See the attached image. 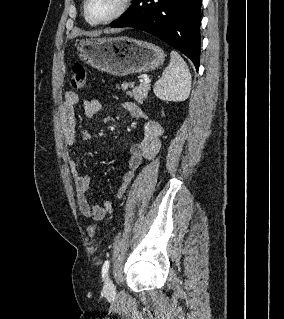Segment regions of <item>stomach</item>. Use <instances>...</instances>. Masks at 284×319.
Here are the masks:
<instances>
[{
    "mask_svg": "<svg viewBox=\"0 0 284 319\" xmlns=\"http://www.w3.org/2000/svg\"><path fill=\"white\" fill-rule=\"evenodd\" d=\"M77 52L87 64L116 76L153 71L165 58L160 47L125 36L82 39Z\"/></svg>",
    "mask_w": 284,
    "mask_h": 319,
    "instance_id": "obj_1",
    "label": "stomach"
}]
</instances>
